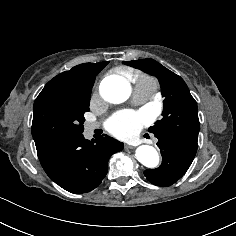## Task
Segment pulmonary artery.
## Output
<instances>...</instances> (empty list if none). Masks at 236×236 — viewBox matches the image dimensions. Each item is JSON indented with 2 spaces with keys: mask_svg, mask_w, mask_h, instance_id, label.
<instances>
[{
  "mask_svg": "<svg viewBox=\"0 0 236 236\" xmlns=\"http://www.w3.org/2000/svg\"><path fill=\"white\" fill-rule=\"evenodd\" d=\"M154 91L155 89L152 87L135 86L133 88V100L138 101V102H145L152 97ZM99 126H100L99 122H91V123L86 124L85 128L89 134H92L94 130L99 128Z\"/></svg>",
  "mask_w": 236,
  "mask_h": 236,
  "instance_id": "pulmonary-artery-1",
  "label": "pulmonary artery"
}]
</instances>
